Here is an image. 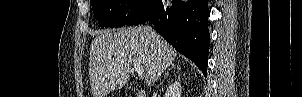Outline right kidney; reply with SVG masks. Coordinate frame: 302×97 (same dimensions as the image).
<instances>
[{"label":"right kidney","instance_id":"1","mask_svg":"<svg viewBox=\"0 0 302 97\" xmlns=\"http://www.w3.org/2000/svg\"><path fill=\"white\" fill-rule=\"evenodd\" d=\"M181 84L179 81L173 82L167 89L166 96L167 97H180L181 94Z\"/></svg>","mask_w":302,"mask_h":97}]
</instances>
